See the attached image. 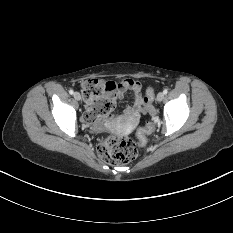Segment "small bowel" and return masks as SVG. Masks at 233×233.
Wrapping results in <instances>:
<instances>
[{
    "label": "small bowel",
    "instance_id": "obj_1",
    "mask_svg": "<svg viewBox=\"0 0 233 233\" xmlns=\"http://www.w3.org/2000/svg\"><path fill=\"white\" fill-rule=\"evenodd\" d=\"M115 85L116 88L114 91V99H122L127 90L132 91L133 103L125 108L124 115L131 120L136 119L140 113L145 111L147 104L145 97L142 94L141 83L134 79H126L115 83ZM98 105V100L86 101L85 119L95 128H99L103 124H106L111 118L109 113L107 115H98L96 113V108Z\"/></svg>",
    "mask_w": 233,
    "mask_h": 233
}]
</instances>
